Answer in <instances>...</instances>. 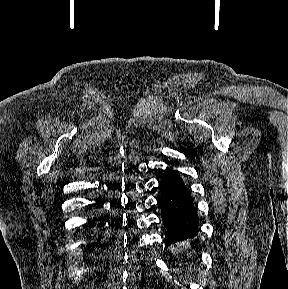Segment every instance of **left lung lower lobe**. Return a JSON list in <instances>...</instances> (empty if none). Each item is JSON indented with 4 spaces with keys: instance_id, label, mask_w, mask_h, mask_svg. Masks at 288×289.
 <instances>
[{
    "instance_id": "1",
    "label": "left lung lower lobe",
    "mask_w": 288,
    "mask_h": 289,
    "mask_svg": "<svg viewBox=\"0 0 288 289\" xmlns=\"http://www.w3.org/2000/svg\"><path fill=\"white\" fill-rule=\"evenodd\" d=\"M158 204L166 227V245L193 238L198 233V216L193 198L176 171L167 168L159 183Z\"/></svg>"
}]
</instances>
